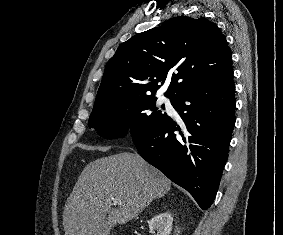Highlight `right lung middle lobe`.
I'll return each mask as SVG.
<instances>
[{"mask_svg": "<svg viewBox=\"0 0 283 235\" xmlns=\"http://www.w3.org/2000/svg\"><path fill=\"white\" fill-rule=\"evenodd\" d=\"M155 102L153 96H145L95 105L89 127L111 139L125 136L126 128L130 127V135L135 138L153 129L168 116L162 109L156 108Z\"/></svg>", "mask_w": 283, "mask_h": 235, "instance_id": "dd1d6c3e", "label": "right lung middle lobe"}]
</instances>
